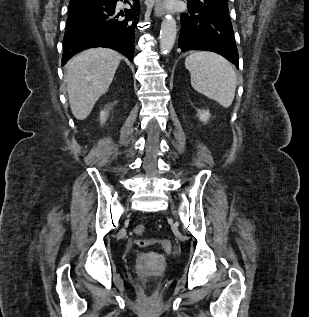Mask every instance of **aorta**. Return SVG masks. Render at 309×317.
Instances as JSON below:
<instances>
[{
	"mask_svg": "<svg viewBox=\"0 0 309 317\" xmlns=\"http://www.w3.org/2000/svg\"><path fill=\"white\" fill-rule=\"evenodd\" d=\"M176 34V21L172 15H167L162 21L160 30V49L163 54H168L172 50Z\"/></svg>",
	"mask_w": 309,
	"mask_h": 317,
	"instance_id": "aorta-1",
	"label": "aorta"
}]
</instances>
